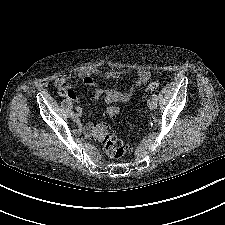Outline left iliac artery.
I'll return each mask as SVG.
<instances>
[{
	"label": "left iliac artery",
	"instance_id": "44dca946",
	"mask_svg": "<svg viewBox=\"0 0 225 225\" xmlns=\"http://www.w3.org/2000/svg\"><path fill=\"white\" fill-rule=\"evenodd\" d=\"M157 99H158V96L156 94H153L152 95V100L157 101Z\"/></svg>",
	"mask_w": 225,
	"mask_h": 225
}]
</instances>
